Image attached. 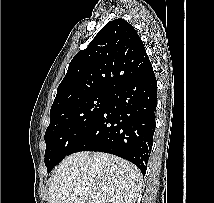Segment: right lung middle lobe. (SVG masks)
Segmentation results:
<instances>
[{
	"label": "right lung middle lobe",
	"mask_w": 214,
	"mask_h": 203,
	"mask_svg": "<svg viewBox=\"0 0 214 203\" xmlns=\"http://www.w3.org/2000/svg\"><path fill=\"white\" fill-rule=\"evenodd\" d=\"M108 98V93H94L50 111V124L44 137L45 165L48 172L69 155L74 145L92 126Z\"/></svg>",
	"instance_id": "right-lung-middle-lobe-1"
}]
</instances>
